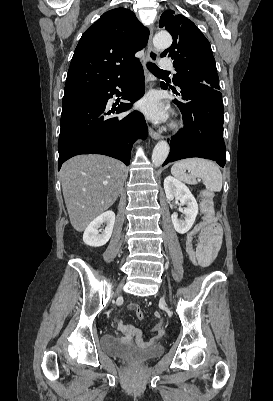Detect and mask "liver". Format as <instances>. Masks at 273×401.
<instances>
[{
	"mask_svg": "<svg viewBox=\"0 0 273 401\" xmlns=\"http://www.w3.org/2000/svg\"><path fill=\"white\" fill-rule=\"evenodd\" d=\"M60 178L70 223L82 233L122 192L125 164L104 154H78L62 164Z\"/></svg>",
	"mask_w": 273,
	"mask_h": 401,
	"instance_id": "liver-1",
	"label": "liver"
}]
</instances>
